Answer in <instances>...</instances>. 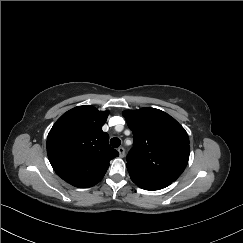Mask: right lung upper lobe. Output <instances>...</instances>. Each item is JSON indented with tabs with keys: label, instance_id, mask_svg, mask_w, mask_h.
I'll list each match as a JSON object with an SVG mask.
<instances>
[{
	"label": "right lung upper lobe",
	"instance_id": "obj_1",
	"mask_svg": "<svg viewBox=\"0 0 243 243\" xmlns=\"http://www.w3.org/2000/svg\"><path fill=\"white\" fill-rule=\"evenodd\" d=\"M108 111L78 106L64 113L47 137V154L55 172L69 184L87 188L105 175L109 161L119 155L102 131Z\"/></svg>",
	"mask_w": 243,
	"mask_h": 243
}]
</instances>
